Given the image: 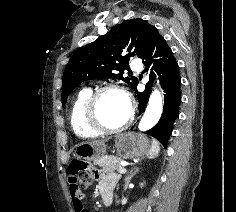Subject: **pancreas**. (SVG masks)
Masks as SVG:
<instances>
[{"label": "pancreas", "instance_id": "pancreas-1", "mask_svg": "<svg viewBox=\"0 0 236 212\" xmlns=\"http://www.w3.org/2000/svg\"><path fill=\"white\" fill-rule=\"evenodd\" d=\"M121 160L120 157L105 156L102 159L94 161V164L100 166L103 173H112L122 168L120 164Z\"/></svg>", "mask_w": 236, "mask_h": 212}]
</instances>
